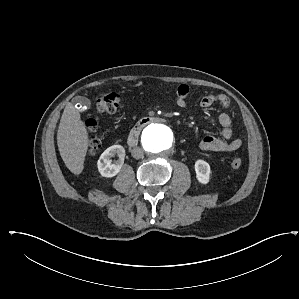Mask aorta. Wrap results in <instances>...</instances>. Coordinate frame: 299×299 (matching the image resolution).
<instances>
[{
	"label": "aorta",
	"instance_id": "762f6f07",
	"mask_svg": "<svg viewBox=\"0 0 299 299\" xmlns=\"http://www.w3.org/2000/svg\"><path fill=\"white\" fill-rule=\"evenodd\" d=\"M141 142L149 156H158L173 146V132L164 124H150L144 129Z\"/></svg>",
	"mask_w": 299,
	"mask_h": 299
}]
</instances>
